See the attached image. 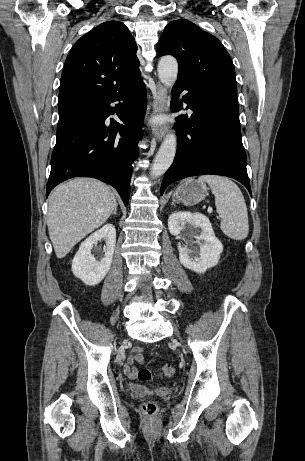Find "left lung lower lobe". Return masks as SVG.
Returning <instances> with one entry per match:
<instances>
[{
  "mask_svg": "<svg viewBox=\"0 0 305 461\" xmlns=\"http://www.w3.org/2000/svg\"><path fill=\"white\" fill-rule=\"evenodd\" d=\"M183 90L188 93L179 101ZM171 111L187 108L191 118L178 116L177 152L165 173L160 194L178 180L201 174L232 177L251 194L246 169V153L242 144L237 103V87L227 84L187 85L176 82L172 90ZM186 108V109H187Z\"/></svg>",
  "mask_w": 305,
  "mask_h": 461,
  "instance_id": "obj_1",
  "label": "left lung lower lobe"
}]
</instances>
